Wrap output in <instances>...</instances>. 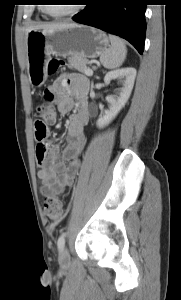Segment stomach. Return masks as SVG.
Here are the masks:
<instances>
[{
  "instance_id": "obj_1",
  "label": "stomach",
  "mask_w": 181,
  "mask_h": 300,
  "mask_svg": "<svg viewBox=\"0 0 181 300\" xmlns=\"http://www.w3.org/2000/svg\"><path fill=\"white\" fill-rule=\"evenodd\" d=\"M109 46L107 35L90 26L73 24L52 33L32 30L27 33V71L32 85H42L47 78L51 55L96 58Z\"/></svg>"
}]
</instances>
